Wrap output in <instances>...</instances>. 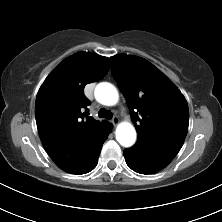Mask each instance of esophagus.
<instances>
[{"mask_svg":"<svg viewBox=\"0 0 222 222\" xmlns=\"http://www.w3.org/2000/svg\"><path fill=\"white\" fill-rule=\"evenodd\" d=\"M112 123H113V125H117L118 123H119V118L118 117H113V119H112Z\"/></svg>","mask_w":222,"mask_h":222,"instance_id":"1","label":"esophagus"}]
</instances>
